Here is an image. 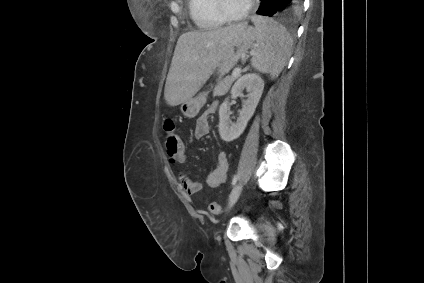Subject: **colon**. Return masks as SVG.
<instances>
[{
    "label": "colon",
    "instance_id": "5ec220e1",
    "mask_svg": "<svg viewBox=\"0 0 424 283\" xmlns=\"http://www.w3.org/2000/svg\"><path fill=\"white\" fill-rule=\"evenodd\" d=\"M163 130L165 133V145L171 147L170 155H174L175 153L177 154L182 153L183 142L180 136L176 132L175 122L172 119H167L164 122ZM208 210L212 214L218 215V214H221L222 207L215 202H210L208 204Z\"/></svg>",
    "mask_w": 424,
    "mask_h": 283
}]
</instances>
